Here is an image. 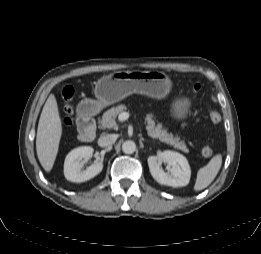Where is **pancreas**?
Segmentation results:
<instances>
[{"label":"pancreas","instance_id":"cf45deb5","mask_svg":"<svg viewBox=\"0 0 261 254\" xmlns=\"http://www.w3.org/2000/svg\"><path fill=\"white\" fill-rule=\"evenodd\" d=\"M126 109L127 107L124 104H121L107 110L103 114L102 120L100 121L101 128L116 129L117 124L115 119ZM145 123L147 133L150 137L154 139H159L161 142L171 145L175 149L181 150L185 153L189 152L185 142L181 141L179 136H173L172 134L168 133L167 129H165L161 123L156 124L155 120H152L150 118H147Z\"/></svg>","mask_w":261,"mask_h":254}]
</instances>
